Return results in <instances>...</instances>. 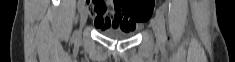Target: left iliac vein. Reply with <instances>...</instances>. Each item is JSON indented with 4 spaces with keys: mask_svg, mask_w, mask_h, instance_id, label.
Listing matches in <instances>:
<instances>
[{
    "mask_svg": "<svg viewBox=\"0 0 235 62\" xmlns=\"http://www.w3.org/2000/svg\"><path fill=\"white\" fill-rule=\"evenodd\" d=\"M151 25H152L154 34L156 36L157 43L162 44L163 43V38H162V34H161V30H160L158 20L156 18L152 19Z\"/></svg>",
    "mask_w": 235,
    "mask_h": 62,
    "instance_id": "1",
    "label": "left iliac vein"
}]
</instances>
